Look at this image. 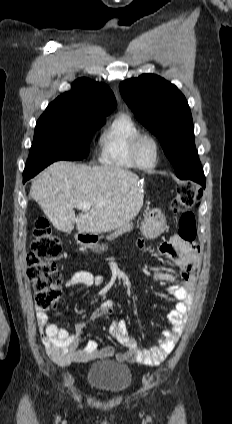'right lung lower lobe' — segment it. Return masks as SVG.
I'll return each instance as SVG.
<instances>
[{
	"label": "right lung lower lobe",
	"mask_w": 232,
	"mask_h": 424,
	"mask_svg": "<svg viewBox=\"0 0 232 424\" xmlns=\"http://www.w3.org/2000/svg\"><path fill=\"white\" fill-rule=\"evenodd\" d=\"M47 166L48 165L42 166V167H40V168L36 169L35 171L30 172V173H23V183H25L30 178L34 177L37 173H39L41 170H43Z\"/></svg>",
	"instance_id": "1"
}]
</instances>
